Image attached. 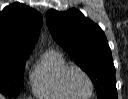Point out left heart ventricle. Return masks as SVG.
Returning a JSON list of instances; mask_svg holds the SVG:
<instances>
[{
  "mask_svg": "<svg viewBox=\"0 0 128 99\" xmlns=\"http://www.w3.org/2000/svg\"><path fill=\"white\" fill-rule=\"evenodd\" d=\"M67 83L72 93L77 96L85 97L90 92V85L87 79L77 70H73L69 73Z\"/></svg>",
  "mask_w": 128,
  "mask_h": 99,
  "instance_id": "b2bd125f",
  "label": "left heart ventricle"
}]
</instances>
